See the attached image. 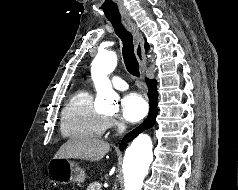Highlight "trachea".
<instances>
[{
    "mask_svg": "<svg viewBox=\"0 0 238 190\" xmlns=\"http://www.w3.org/2000/svg\"><path fill=\"white\" fill-rule=\"evenodd\" d=\"M109 21L112 23L117 36L122 40L123 59L128 72L135 77H140L139 63L134 53L132 34L124 27L120 18H112Z\"/></svg>",
    "mask_w": 238,
    "mask_h": 190,
    "instance_id": "3493384b",
    "label": "trachea"
}]
</instances>
